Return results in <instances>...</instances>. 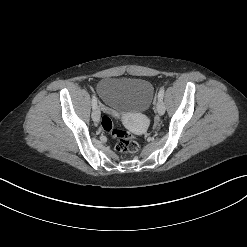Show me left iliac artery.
Masks as SVG:
<instances>
[{
	"mask_svg": "<svg viewBox=\"0 0 247 247\" xmlns=\"http://www.w3.org/2000/svg\"><path fill=\"white\" fill-rule=\"evenodd\" d=\"M165 88L161 87L158 93V99L163 100Z\"/></svg>",
	"mask_w": 247,
	"mask_h": 247,
	"instance_id": "obj_1",
	"label": "left iliac artery"
}]
</instances>
